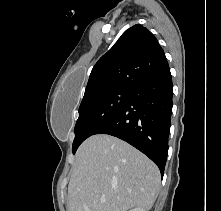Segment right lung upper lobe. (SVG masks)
I'll return each mask as SVG.
<instances>
[{
    "instance_id": "obj_1",
    "label": "right lung upper lobe",
    "mask_w": 221,
    "mask_h": 211,
    "mask_svg": "<svg viewBox=\"0 0 221 211\" xmlns=\"http://www.w3.org/2000/svg\"><path fill=\"white\" fill-rule=\"evenodd\" d=\"M169 70L164 51L155 36L136 24L126 30L93 67L83 100L139 82Z\"/></svg>"
}]
</instances>
